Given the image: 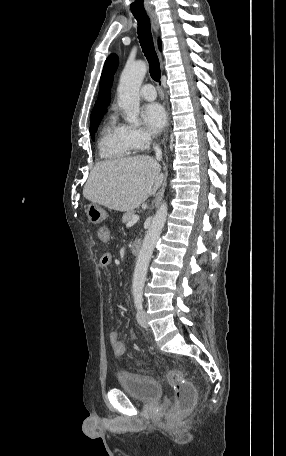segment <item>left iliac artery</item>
<instances>
[{
	"label": "left iliac artery",
	"instance_id": "44dca946",
	"mask_svg": "<svg viewBox=\"0 0 286 456\" xmlns=\"http://www.w3.org/2000/svg\"><path fill=\"white\" fill-rule=\"evenodd\" d=\"M134 303L138 310L142 309V302H143V292L142 290H134Z\"/></svg>",
	"mask_w": 286,
	"mask_h": 456
}]
</instances>
